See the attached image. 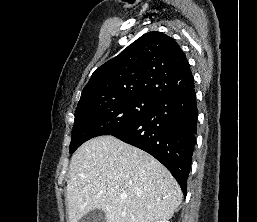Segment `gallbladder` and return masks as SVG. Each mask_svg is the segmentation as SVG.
Segmentation results:
<instances>
[{"label": "gallbladder", "mask_w": 257, "mask_h": 222, "mask_svg": "<svg viewBox=\"0 0 257 222\" xmlns=\"http://www.w3.org/2000/svg\"><path fill=\"white\" fill-rule=\"evenodd\" d=\"M79 222H106V215L100 209H95L84 215Z\"/></svg>", "instance_id": "gallbladder-1"}]
</instances>
